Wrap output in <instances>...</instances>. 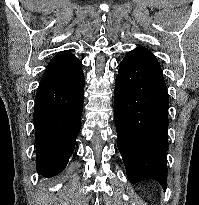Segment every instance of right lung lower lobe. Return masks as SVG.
<instances>
[{
  "label": "right lung lower lobe",
  "instance_id": "1",
  "mask_svg": "<svg viewBox=\"0 0 199 205\" xmlns=\"http://www.w3.org/2000/svg\"><path fill=\"white\" fill-rule=\"evenodd\" d=\"M84 74L60 78L42 76L35 97L36 168L52 177L67 165L80 130L84 100Z\"/></svg>",
  "mask_w": 199,
  "mask_h": 205
}]
</instances>
